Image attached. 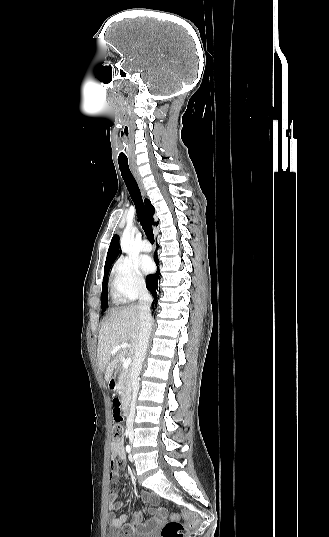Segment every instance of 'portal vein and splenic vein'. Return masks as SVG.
Wrapping results in <instances>:
<instances>
[{"instance_id": "18ae733b", "label": "portal vein and splenic vein", "mask_w": 329, "mask_h": 537, "mask_svg": "<svg viewBox=\"0 0 329 537\" xmlns=\"http://www.w3.org/2000/svg\"><path fill=\"white\" fill-rule=\"evenodd\" d=\"M128 347V343H121L120 345L116 346L113 348V350L111 351V354L112 355H115L121 348H126ZM131 358H127L123 361V367L124 368H128L129 365L131 364Z\"/></svg>"}]
</instances>
